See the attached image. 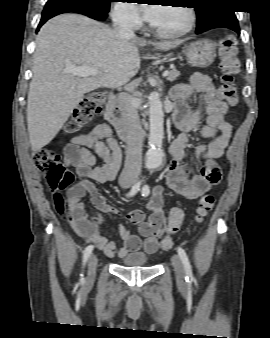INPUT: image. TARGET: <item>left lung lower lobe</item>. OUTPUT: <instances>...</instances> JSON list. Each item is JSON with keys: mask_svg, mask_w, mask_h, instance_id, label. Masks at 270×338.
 <instances>
[{"mask_svg": "<svg viewBox=\"0 0 270 338\" xmlns=\"http://www.w3.org/2000/svg\"><path fill=\"white\" fill-rule=\"evenodd\" d=\"M213 28H228L240 34L238 20L235 15L226 16L223 19L212 23L210 27L206 30L213 29Z\"/></svg>", "mask_w": 270, "mask_h": 338, "instance_id": "obj_1", "label": "left lung lower lobe"}]
</instances>
